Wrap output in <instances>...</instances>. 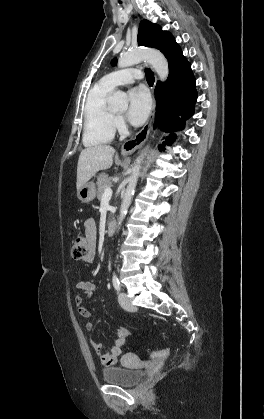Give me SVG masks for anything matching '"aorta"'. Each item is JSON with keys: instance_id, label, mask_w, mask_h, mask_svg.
Segmentation results:
<instances>
[{"instance_id": "aorta-1", "label": "aorta", "mask_w": 264, "mask_h": 419, "mask_svg": "<svg viewBox=\"0 0 264 419\" xmlns=\"http://www.w3.org/2000/svg\"><path fill=\"white\" fill-rule=\"evenodd\" d=\"M140 61L148 62L154 68L161 81H165L167 79L169 74L168 62L162 53L153 49H137L121 54L118 59V67H129L139 63ZM108 103L112 107L126 106L128 104L127 95L122 91H115L109 98ZM141 161L142 158L138 157L132 168L129 183L120 207L118 227L121 226L131 204L141 168Z\"/></svg>"}]
</instances>
